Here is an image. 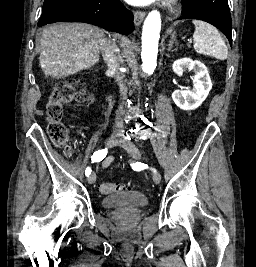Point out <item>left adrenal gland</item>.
<instances>
[{"label": "left adrenal gland", "mask_w": 256, "mask_h": 267, "mask_svg": "<svg viewBox=\"0 0 256 267\" xmlns=\"http://www.w3.org/2000/svg\"><path fill=\"white\" fill-rule=\"evenodd\" d=\"M174 44H177V40H176V32H174V34H172L171 36V40L168 44V50H172Z\"/></svg>", "instance_id": "1"}]
</instances>
